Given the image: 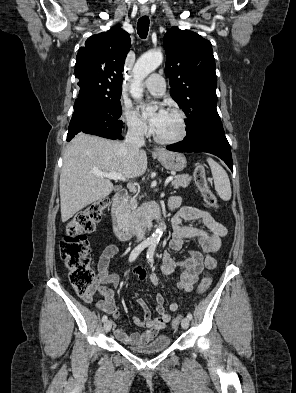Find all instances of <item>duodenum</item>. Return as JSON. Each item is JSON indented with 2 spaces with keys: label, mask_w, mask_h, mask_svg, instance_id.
<instances>
[{
  "label": "duodenum",
  "mask_w": 296,
  "mask_h": 393,
  "mask_svg": "<svg viewBox=\"0 0 296 393\" xmlns=\"http://www.w3.org/2000/svg\"><path fill=\"white\" fill-rule=\"evenodd\" d=\"M127 190L120 189L113 196L112 205L110 209L111 223L114 234L119 240L125 241L133 236L139 235L143 231L148 230L151 221L161 217V209L154 204H149L146 207V225L142 229L138 226H125L122 215V205L127 198Z\"/></svg>",
  "instance_id": "1"
}]
</instances>
